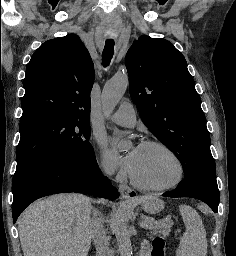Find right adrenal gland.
<instances>
[{
    "label": "right adrenal gland",
    "instance_id": "2a0ac1e0",
    "mask_svg": "<svg viewBox=\"0 0 236 256\" xmlns=\"http://www.w3.org/2000/svg\"><path fill=\"white\" fill-rule=\"evenodd\" d=\"M92 210H93L94 216H99V218H102L100 212H98V210H96V208H92Z\"/></svg>",
    "mask_w": 236,
    "mask_h": 256
}]
</instances>
